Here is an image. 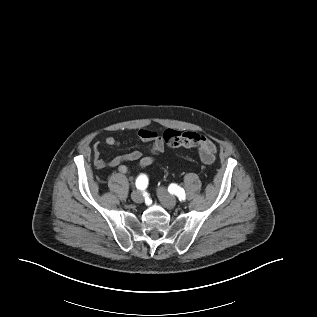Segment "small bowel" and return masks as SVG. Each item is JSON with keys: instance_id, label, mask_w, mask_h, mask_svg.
Segmentation results:
<instances>
[{"instance_id": "1", "label": "small bowel", "mask_w": 317, "mask_h": 317, "mask_svg": "<svg viewBox=\"0 0 317 317\" xmlns=\"http://www.w3.org/2000/svg\"><path fill=\"white\" fill-rule=\"evenodd\" d=\"M139 140L150 143V150L153 154H158L164 151L165 145L161 136L156 132L148 129H141L137 133ZM201 140L198 145V152L201 160L206 164H211L215 159L216 146L207 137L200 136ZM107 146H119L120 141L112 136H107L104 140ZM137 161L140 169L146 168L154 163V156H144L139 150H134L126 154L118 155L111 159H104L102 157V151L99 144L95 145L93 150V162L96 168H117V170L123 175H129L130 170L125 163Z\"/></svg>"}]
</instances>
